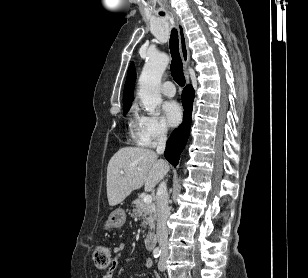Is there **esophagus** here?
I'll list each match as a JSON object with an SVG mask.
<instances>
[{
    "label": "esophagus",
    "mask_w": 308,
    "mask_h": 278,
    "mask_svg": "<svg viewBox=\"0 0 308 278\" xmlns=\"http://www.w3.org/2000/svg\"><path fill=\"white\" fill-rule=\"evenodd\" d=\"M175 17V22L178 30V35H179V47H180V53L183 61V67L185 71V76L187 83H189V73H188V65H189V60H190V52L188 48V41L187 37L185 34V29L184 26L180 20V18L177 15H174Z\"/></svg>",
    "instance_id": "esophagus-1"
}]
</instances>
